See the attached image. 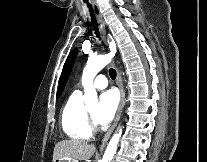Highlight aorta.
<instances>
[{
  "instance_id": "762f6f07",
  "label": "aorta",
  "mask_w": 207,
  "mask_h": 162,
  "mask_svg": "<svg viewBox=\"0 0 207 162\" xmlns=\"http://www.w3.org/2000/svg\"><path fill=\"white\" fill-rule=\"evenodd\" d=\"M111 61L109 55H96L88 58L87 64L82 74V85L84 86L83 100L86 105L97 103V93L93 86V80L98 72ZM122 130L119 129L109 141L102 162H111L116 153L118 142L121 138Z\"/></svg>"
}]
</instances>
